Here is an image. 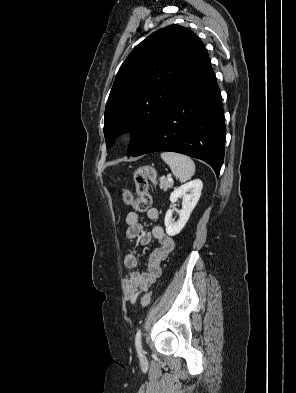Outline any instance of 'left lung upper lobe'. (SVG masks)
<instances>
[{
  "label": "left lung upper lobe",
  "mask_w": 296,
  "mask_h": 393,
  "mask_svg": "<svg viewBox=\"0 0 296 393\" xmlns=\"http://www.w3.org/2000/svg\"><path fill=\"white\" fill-rule=\"evenodd\" d=\"M208 59L199 38L178 25L162 28L138 44L121 65L106 104L107 148L129 131L131 156Z\"/></svg>",
  "instance_id": "left-lung-upper-lobe-1"
}]
</instances>
